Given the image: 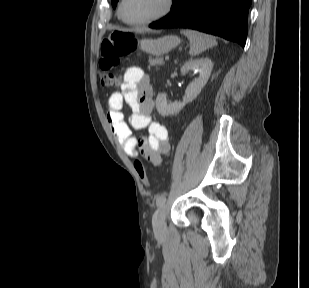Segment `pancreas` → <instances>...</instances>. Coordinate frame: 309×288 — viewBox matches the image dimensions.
<instances>
[{"label": "pancreas", "mask_w": 309, "mask_h": 288, "mask_svg": "<svg viewBox=\"0 0 309 288\" xmlns=\"http://www.w3.org/2000/svg\"><path fill=\"white\" fill-rule=\"evenodd\" d=\"M149 63L151 66H159L164 64V60L162 57L150 58Z\"/></svg>", "instance_id": "cf45deb5"}]
</instances>
